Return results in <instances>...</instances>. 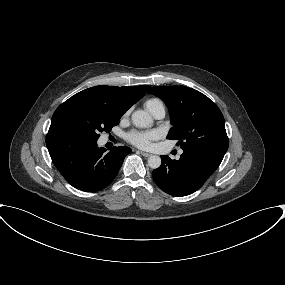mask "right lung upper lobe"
I'll list each match as a JSON object with an SVG mask.
<instances>
[{
	"instance_id": "1",
	"label": "right lung upper lobe",
	"mask_w": 285,
	"mask_h": 285,
	"mask_svg": "<svg viewBox=\"0 0 285 285\" xmlns=\"http://www.w3.org/2000/svg\"><path fill=\"white\" fill-rule=\"evenodd\" d=\"M148 88V85L135 87L95 86L75 94L59 107L68 105H99L123 115L145 95Z\"/></svg>"
}]
</instances>
